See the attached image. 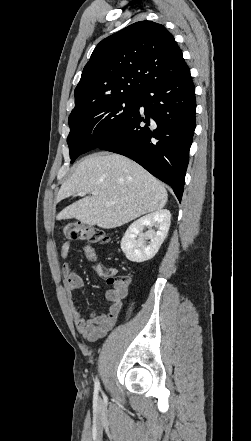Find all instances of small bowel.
<instances>
[{
  "mask_svg": "<svg viewBox=\"0 0 251 441\" xmlns=\"http://www.w3.org/2000/svg\"><path fill=\"white\" fill-rule=\"evenodd\" d=\"M86 259L93 265L96 272L104 277L107 271L99 262L94 247L86 245L83 248ZM70 254V243L66 242L61 246L60 256L68 258ZM62 274L65 278V288L69 294V306L77 331L88 341H95L104 337L116 324L122 308L123 300L127 295V285H113L105 292V299L108 306L103 313L92 312L89 317H85L78 309L74 299V292L84 287L82 277L75 272L72 265L68 262L62 266Z\"/></svg>",
  "mask_w": 251,
  "mask_h": 441,
  "instance_id": "obj_1",
  "label": "small bowel"
}]
</instances>
